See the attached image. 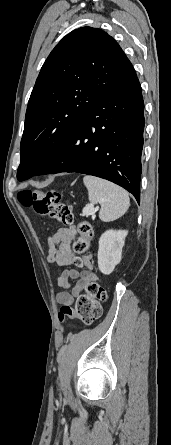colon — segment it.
<instances>
[{"instance_id":"1","label":"colon","mask_w":171,"mask_h":445,"mask_svg":"<svg viewBox=\"0 0 171 445\" xmlns=\"http://www.w3.org/2000/svg\"><path fill=\"white\" fill-rule=\"evenodd\" d=\"M19 202L32 210L38 217H50L60 221L67 226H73L74 215L70 203L62 201V195L56 190L47 192L32 191L24 189L20 191ZM93 237V226L89 221L82 220L76 224L75 236L72 249L74 262H81L76 255L86 252L90 247ZM72 259V260H73ZM107 292L99 283L89 282L86 292L79 296L75 308L65 305L59 312V320L64 322L69 318H77L86 325H91L100 319L102 315L101 304L107 300Z\"/></svg>"}]
</instances>
